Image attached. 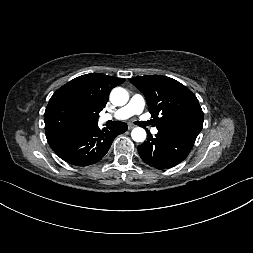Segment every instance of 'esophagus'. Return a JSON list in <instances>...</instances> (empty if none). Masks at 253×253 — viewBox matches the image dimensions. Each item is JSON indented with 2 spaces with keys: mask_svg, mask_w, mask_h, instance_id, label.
Instances as JSON below:
<instances>
[{
  "mask_svg": "<svg viewBox=\"0 0 253 253\" xmlns=\"http://www.w3.org/2000/svg\"><path fill=\"white\" fill-rule=\"evenodd\" d=\"M135 127H136V125H134L133 123H128L129 130H131V129L135 128Z\"/></svg>",
  "mask_w": 253,
  "mask_h": 253,
  "instance_id": "34e87169",
  "label": "esophagus"
}]
</instances>
